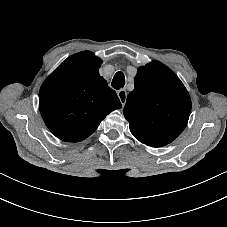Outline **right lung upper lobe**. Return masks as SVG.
Wrapping results in <instances>:
<instances>
[{"instance_id": "1", "label": "right lung upper lobe", "mask_w": 227, "mask_h": 227, "mask_svg": "<svg viewBox=\"0 0 227 227\" xmlns=\"http://www.w3.org/2000/svg\"><path fill=\"white\" fill-rule=\"evenodd\" d=\"M101 63L90 51L74 54L42 84L39 109L45 124L59 139L84 140L111 111L122 107L115 91L99 75Z\"/></svg>"}]
</instances>
